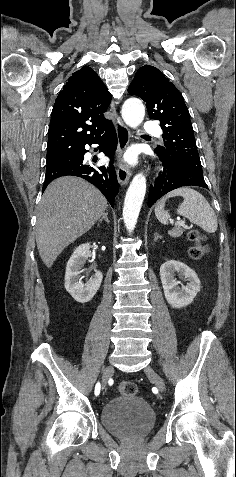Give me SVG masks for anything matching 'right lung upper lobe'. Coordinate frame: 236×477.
<instances>
[{
    "label": "right lung upper lobe",
    "instance_id": "1",
    "mask_svg": "<svg viewBox=\"0 0 236 477\" xmlns=\"http://www.w3.org/2000/svg\"><path fill=\"white\" fill-rule=\"evenodd\" d=\"M110 102L111 94L92 68L84 66L73 73L52 110L47 166L69 159L112 124L103 117Z\"/></svg>",
    "mask_w": 236,
    "mask_h": 477
}]
</instances>
